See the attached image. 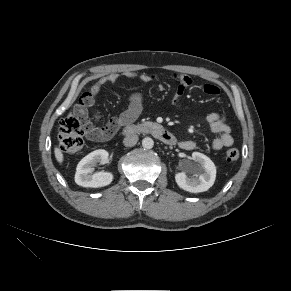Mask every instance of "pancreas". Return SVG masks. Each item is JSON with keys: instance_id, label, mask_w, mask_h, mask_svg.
<instances>
[{"instance_id": "obj_1", "label": "pancreas", "mask_w": 291, "mask_h": 291, "mask_svg": "<svg viewBox=\"0 0 291 291\" xmlns=\"http://www.w3.org/2000/svg\"><path fill=\"white\" fill-rule=\"evenodd\" d=\"M143 125H151L150 122H145Z\"/></svg>"}]
</instances>
